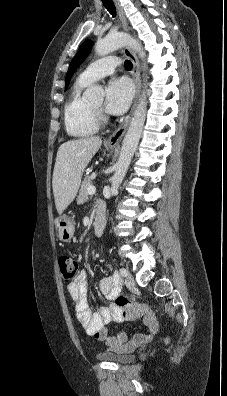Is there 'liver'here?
I'll return each mask as SVG.
<instances>
[{"label": "liver", "mask_w": 227, "mask_h": 396, "mask_svg": "<svg viewBox=\"0 0 227 396\" xmlns=\"http://www.w3.org/2000/svg\"><path fill=\"white\" fill-rule=\"evenodd\" d=\"M101 144L100 137H87L60 145L52 179L55 206L59 214L76 197L83 172Z\"/></svg>", "instance_id": "6515ba94"}]
</instances>
